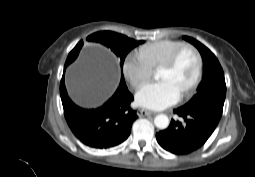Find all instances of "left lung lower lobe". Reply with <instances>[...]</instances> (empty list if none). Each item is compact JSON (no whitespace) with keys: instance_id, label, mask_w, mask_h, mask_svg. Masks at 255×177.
Instances as JSON below:
<instances>
[{"instance_id":"left-lung-lower-lobe-1","label":"left lung lower lobe","mask_w":255,"mask_h":177,"mask_svg":"<svg viewBox=\"0 0 255 177\" xmlns=\"http://www.w3.org/2000/svg\"><path fill=\"white\" fill-rule=\"evenodd\" d=\"M174 113L183 118V123L172 119L166 130L156 134V139L161 147L176 155L189 154L202 147L221 118L220 113L208 109L180 107Z\"/></svg>"}]
</instances>
